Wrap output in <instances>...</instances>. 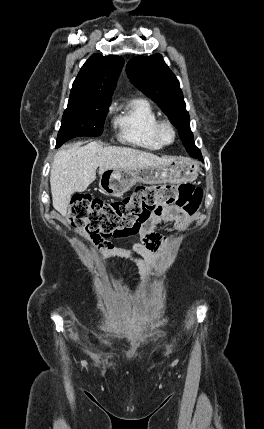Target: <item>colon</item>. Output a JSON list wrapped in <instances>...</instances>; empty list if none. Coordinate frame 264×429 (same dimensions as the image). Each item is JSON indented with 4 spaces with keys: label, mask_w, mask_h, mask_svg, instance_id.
I'll return each instance as SVG.
<instances>
[{
    "label": "colon",
    "mask_w": 264,
    "mask_h": 429,
    "mask_svg": "<svg viewBox=\"0 0 264 429\" xmlns=\"http://www.w3.org/2000/svg\"><path fill=\"white\" fill-rule=\"evenodd\" d=\"M203 191L192 184L139 186L120 200L103 201L89 195H75L68 223L92 238L126 236L140 230L154 214L176 207L187 215L196 213Z\"/></svg>",
    "instance_id": "1"
}]
</instances>
